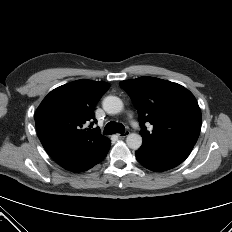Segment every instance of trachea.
<instances>
[{
    "label": "trachea",
    "instance_id": "1",
    "mask_svg": "<svg viewBox=\"0 0 232 232\" xmlns=\"http://www.w3.org/2000/svg\"><path fill=\"white\" fill-rule=\"evenodd\" d=\"M125 132V127L121 123H116V122H109L104 129V134L105 135H111L114 133H124Z\"/></svg>",
    "mask_w": 232,
    "mask_h": 232
}]
</instances>
